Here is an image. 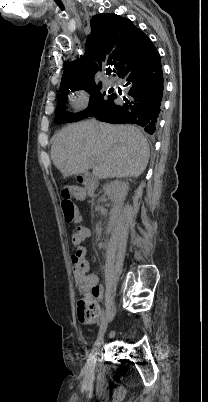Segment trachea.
Wrapping results in <instances>:
<instances>
[{
	"instance_id": "1",
	"label": "trachea",
	"mask_w": 208,
	"mask_h": 402,
	"mask_svg": "<svg viewBox=\"0 0 208 402\" xmlns=\"http://www.w3.org/2000/svg\"><path fill=\"white\" fill-rule=\"evenodd\" d=\"M112 70H107V75H111Z\"/></svg>"
}]
</instances>
